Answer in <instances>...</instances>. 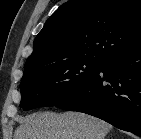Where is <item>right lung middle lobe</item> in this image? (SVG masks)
Returning a JSON list of instances; mask_svg holds the SVG:
<instances>
[{
	"label": "right lung middle lobe",
	"instance_id": "right-lung-middle-lobe-1",
	"mask_svg": "<svg viewBox=\"0 0 141 139\" xmlns=\"http://www.w3.org/2000/svg\"><path fill=\"white\" fill-rule=\"evenodd\" d=\"M103 61L85 56L25 70L20 107L30 110L55 106L89 82Z\"/></svg>",
	"mask_w": 141,
	"mask_h": 139
}]
</instances>
